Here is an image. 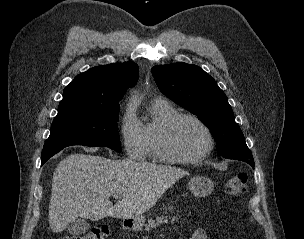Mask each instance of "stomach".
<instances>
[{"instance_id":"1","label":"stomach","mask_w":304,"mask_h":239,"mask_svg":"<svg viewBox=\"0 0 304 239\" xmlns=\"http://www.w3.org/2000/svg\"><path fill=\"white\" fill-rule=\"evenodd\" d=\"M188 186L192 194L196 197L208 196L214 189L213 182L205 176H194L190 179ZM129 220L131 222L132 230H142L145 223V219L142 216Z\"/></svg>"}]
</instances>
